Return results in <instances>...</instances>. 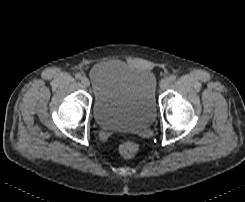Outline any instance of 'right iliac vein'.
Masks as SVG:
<instances>
[{"label": "right iliac vein", "instance_id": "obj_1", "mask_svg": "<svg viewBox=\"0 0 245 202\" xmlns=\"http://www.w3.org/2000/svg\"><path fill=\"white\" fill-rule=\"evenodd\" d=\"M81 83H82V85H83L84 87H89V85H90V82H89L88 78L85 77V76H83V77L81 78Z\"/></svg>", "mask_w": 245, "mask_h": 202}]
</instances>
